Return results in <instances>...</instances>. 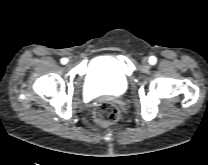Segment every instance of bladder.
<instances>
[{"label": "bladder", "instance_id": "obj_1", "mask_svg": "<svg viewBox=\"0 0 208 165\" xmlns=\"http://www.w3.org/2000/svg\"><path fill=\"white\" fill-rule=\"evenodd\" d=\"M85 87L92 95H122L128 87V77L116 58L101 56L90 63Z\"/></svg>", "mask_w": 208, "mask_h": 165}]
</instances>
